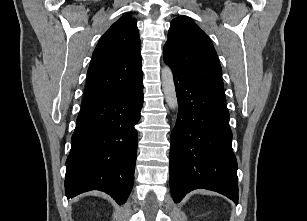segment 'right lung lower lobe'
I'll return each mask as SVG.
<instances>
[{
	"mask_svg": "<svg viewBox=\"0 0 307 221\" xmlns=\"http://www.w3.org/2000/svg\"><path fill=\"white\" fill-rule=\"evenodd\" d=\"M143 106V82L82 105L66 161L65 195L101 190L124 204L132 190L138 146L135 125Z\"/></svg>",
	"mask_w": 307,
	"mask_h": 221,
	"instance_id": "98d812e1",
	"label": "right lung lower lobe"
}]
</instances>
